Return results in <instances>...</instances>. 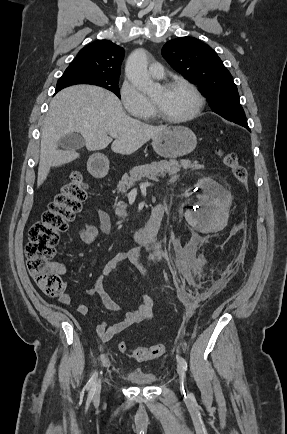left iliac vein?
I'll list each match as a JSON object with an SVG mask.
<instances>
[{
  "label": "left iliac vein",
  "instance_id": "obj_1",
  "mask_svg": "<svg viewBox=\"0 0 287 434\" xmlns=\"http://www.w3.org/2000/svg\"><path fill=\"white\" fill-rule=\"evenodd\" d=\"M179 374H180L181 386L184 390H186V375H185V371L181 367H179Z\"/></svg>",
  "mask_w": 287,
  "mask_h": 434
}]
</instances>
